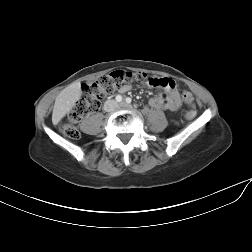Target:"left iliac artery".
I'll list each match as a JSON object with an SVG mask.
<instances>
[{"mask_svg": "<svg viewBox=\"0 0 252 252\" xmlns=\"http://www.w3.org/2000/svg\"><path fill=\"white\" fill-rule=\"evenodd\" d=\"M125 101H126L127 104H130L132 100H131V98L127 97V98L125 99Z\"/></svg>", "mask_w": 252, "mask_h": 252, "instance_id": "1", "label": "left iliac artery"}]
</instances>
